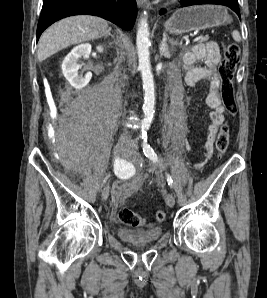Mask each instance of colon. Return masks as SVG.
Instances as JSON below:
<instances>
[{
  "mask_svg": "<svg viewBox=\"0 0 267 298\" xmlns=\"http://www.w3.org/2000/svg\"><path fill=\"white\" fill-rule=\"evenodd\" d=\"M240 59V48L236 44H229L224 50V59L221 63L219 72L221 77V96L224 105L229 112L233 113L236 110L235 90L233 79L236 72L237 65ZM230 133L229 126L224 123L216 139L215 147L219 157H222L229 146ZM166 213L164 210H157L155 218L158 222L165 220ZM119 219L122 223L139 227L145 224V219L132 211L131 209L124 207L119 211Z\"/></svg>",
  "mask_w": 267,
  "mask_h": 298,
  "instance_id": "colon-1",
  "label": "colon"
}]
</instances>
